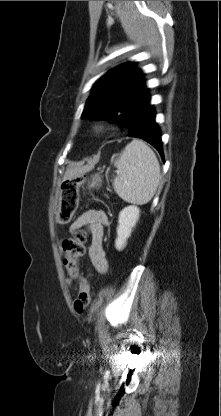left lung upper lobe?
<instances>
[{
	"instance_id": "5c2ea615",
	"label": "left lung upper lobe",
	"mask_w": 221,
	"mask_h": 416,
	"mask_svg": "<svg viewBox=\"0 0 221 416\" xmlns=\"http://www.w3.org/2000/svg\"><path fill=\"white\" fill-rule=\"evenodd\" d=\"M135 64H122L94 84L82 118L116 120L128 129L136 108L149 96L143 74Z\"/></svg>"
}]
</instances>
